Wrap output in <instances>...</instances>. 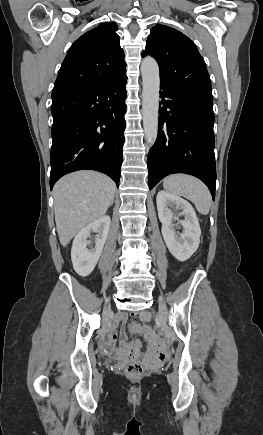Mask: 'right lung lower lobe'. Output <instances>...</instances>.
<instances>
[{"mask_svg": "<svg viewBox=\"0 0 263 435\" xmlns=\"http://www.w3.org/2000/svg\"><path fill=\"white\" fill-rule=\"evenodd\" d=\"M126 72L52 97L50 188L63 175L96 170L119 186L126 113Z\"/></svg>", "mask_w": 263, "mask_h": 435, "instance_id": "1", "label": "right lung lower lobe"}]
</instances>
